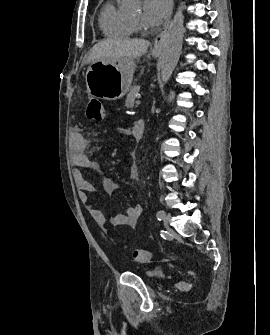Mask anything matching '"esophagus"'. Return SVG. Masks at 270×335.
Here are the masks:
<instances>
[{
	"instance_id": "34e87169",
	"label": "esophagus",
	"mask_w": 270,
	"mask_h": 335,
	"mask_svg": "<svg viewBox=\"0 0 270 335\" xmlns=\"http://www.w3.org/2000/svg\"><path fill=\"white\" fill-rule=\"evenodd\" d=\"M173 5H174L173 0H168V10H167V14L164 20L163 28L160 31V33L157 35V37L154 39V42H153L154 50L162 49L164 46L170 18L172 15Z\"/></svg>"
}]
</instances>
